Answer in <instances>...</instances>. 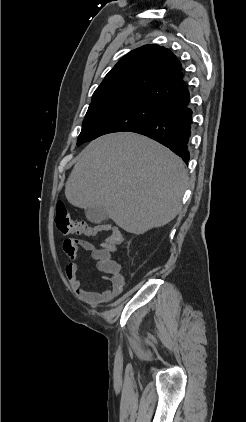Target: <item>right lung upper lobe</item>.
<instances>
[{"label": "right lung upper lobe", "instance_id": "1", "mask_svg": "<svg viewBox=\"0 0 246 422\" xmlns=\"http://www.w3.org/2000/svg\"><path fill=\"white\" fill-rule=\"evenodd\" d=\"M182 64L169 49L145 45L126 54L95 90L89 107L114 103L159 106L188 92Z\"/></svg>", "mask_w": 246, "mask_h": 422}]
</instances>
